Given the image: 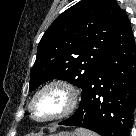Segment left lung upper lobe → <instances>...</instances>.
<instances>
[{
  "label": "left lung upper lobe",
  "mask_w": 136,
  "mask_h": 136,
  "mask_svg": "<svg viewBox=\"0 0 136 136\" xmlns=\"http://www.w3.org/2000/svg\"><path fill=\"white\" fill-rule=\"evenodd\" d=\"M126 17L114 0H81L64 11L39 42L29 91L54 78L83 89Z\"/></svg>",
  "instance_id": "obj_1"
}]
</instances>
